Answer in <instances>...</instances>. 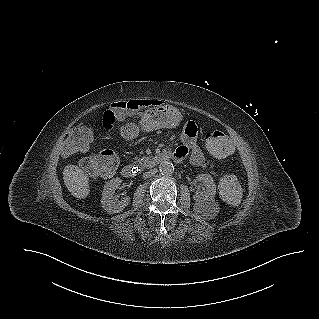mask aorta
<instances>
[{"label":"aorta","mask_w":319,"mask_h":319,"mask_svg":"<svg viewBox=\"0 0 319 319\" xmlns=\"http://www.w3.org/2000/svg\"><path fill=\"white\" fill-rule=\"evenodd\" d=\"M159 171L162 175L170 176L174 173V166L170 161H163L159 165Z\"/></svg>","instance_id":"762f6f07"}]
</instances>
